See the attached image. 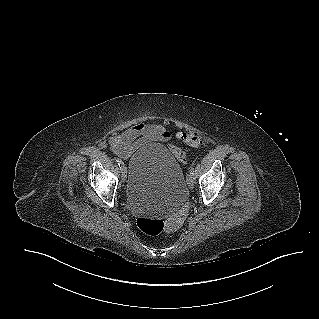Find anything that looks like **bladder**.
<instances>
[{
  "instance_id": "1",
  "label": "bladder",
  "mask_w": 319,
  "mask_h": 319,
  "mask_svg": "<svg viewBox=\"0 0 319 319\" xmlns=\"http://www.w3.org/2000/svg\"><path fill=\"white\" fill-rule=\"evenodd\" d=\"M126 175V200L140 214L168 215L186 198L183 170L162 144L141 147L130 158Z\"/></svg>"
}]
</instances>
